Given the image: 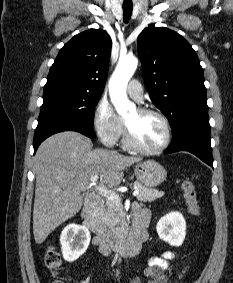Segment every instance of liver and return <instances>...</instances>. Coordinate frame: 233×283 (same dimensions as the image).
<instances>
[{"label":"liver","mask_w":233,"mask_h":283,"mask_svg":"<svg viewBox=\"0 0 233 283\" xmlns=\"http://www.w3.org/2000/svg\"><path fill=\"white\" fill-rule=\"evenodd\" d=\"M92 147L89 138L75 131L57 133L39 146L34 158L33 234L37 244L79 212L83 205L81 193L92 176H100L102 183L117 187L124 169L142 160Z\"/></svg>","instance_id":"1"}]
</instances>
